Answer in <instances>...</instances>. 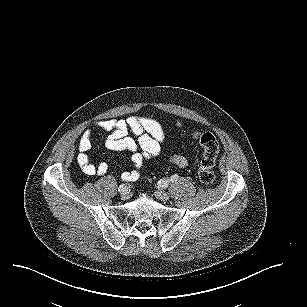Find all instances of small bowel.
Instances as JSON below:
<instances>
[{"mask_svg": "<svg viewBox=\"0 0 307 307\" xmlns=\"http://www.w3.org/2000/svg\"><path fill=\"white\" fill-rule=\"evenodd\" d=\"M176 125L181 126V123L177 122ZM96 130L109 133L105 142L109 150L129 153L135 168L121 173L120 177L125 182H134L139 179L143 163L160 154L161 143L165 137L162 126L151 118L129 116L121 120L97 121L91 128L84 131L78 143L77 162L83 173L89 176H104L109 169L107 163L94 164L90 159L92 136ZM129 132L136 135L137 139L129 136ZM169 160L179 167H185L188 164L186 157L180 154L170 156Z\"/></svg>", "mask_w": 307, "mask_h": 307, "instance_id": "obj_1", "label": "small bowel"}]
</instances>
